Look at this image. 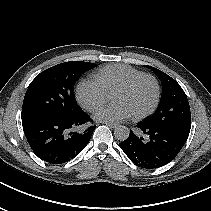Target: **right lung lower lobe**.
<instances>
[{
	"instance_id": "1",
	"label": "right lung lower lobe",
	"mask_w": 211,
	"mask_h": 211,
	"mask_svg": "<svg viewBox=\"0 0 211 211\" xmlns=\"http://www.w3.org/2000/svg\"><path fill=\"white\" fill-rule=\"evenodd\" d=\"M86 112L70 117H49L22 121L27 141L37 157L50 163L62 164L75 158L88 144L96 126L85 131L72 132L88 124Z\"/></svg>"
}]
</instances>
